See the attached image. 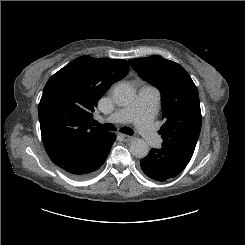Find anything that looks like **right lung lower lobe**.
Returning a JSON list of instances; mask_svg holds the SVG:
<instances>
[{
	"label": "right lung lower lobe",
	"instance_id": "98d812e1",
	"mask_svg": "<svg viewBox=\"0 0 245 245\" xmlns=\"http://www.w3.org/2000/svg\"><path fill=\"white\" fill-rule=\"evenodd\" d=\"M115 139L116 136L113 133L104 132L61 168L76 178L92 175L105 162Z\"/></svg>",
	"mask_w": 245,
	"mask_h": 245
}]
</instances>
